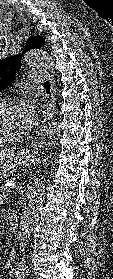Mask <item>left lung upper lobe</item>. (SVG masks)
<instances>
[{
    "mask_svg": "<svg viewBox=\"0 0 113 279\" xmlns=\"http://www.w3.org/2000/svg\"><path fill=\"white\" fill-rule=\"evenodd\" d=\"M45 43L42 36H31L23 49L26 52L33 48H40ZM22 54L0 60V89L6 88L14 80L16 71L20 68Z\"/></svg>",
    "mask_w": 113,
    "mask_h": 279,
    "instance_id": "1",
    "label": "left lung upper lobe"
}]
</instances>
